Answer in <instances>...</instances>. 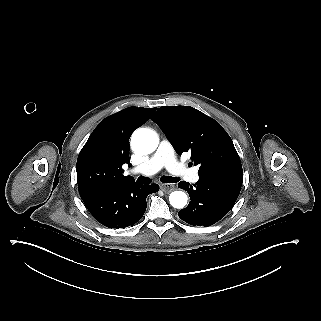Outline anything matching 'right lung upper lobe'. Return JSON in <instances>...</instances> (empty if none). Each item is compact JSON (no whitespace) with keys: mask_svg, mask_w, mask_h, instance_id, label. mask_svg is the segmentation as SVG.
Instances as JSON below:
<instances>
[{"mask_svg":"<svg viewBox=\"0 0 321 321\" xmlns=\"http://www.w3.org/2000/svg\"><path fill=\"white\" fill-rule=\"evenodd\" d=\"M156 108L129 107L105 118L92 132L77 159V184L81 198L133 184L123 175L130 164L129 138Z\"/></svg>","mask_w":321,"mask_h":321,"instance_id":"right-lung-upper-lobe-1","label":"right lung upper lobe"}]
</instances>
